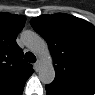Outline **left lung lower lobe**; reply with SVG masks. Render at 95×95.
<instances>
[{
	"label": "left lung lower lobe",
	"mask_w": 95,
	"mask_h": 95,
	"mask_svg": "<svg viewBox=\"0 0 95 95\" xmlns=\"http://www.w3.org/2000/svg\"><path fill=\"white\" fill-rule=\"evenodd\" d=\"M47 95H92L95 90L76 84L46 85Z\"/></svg>",
	"instance_id": "left-lung-lower-lobe-1"
}]
</instances>
